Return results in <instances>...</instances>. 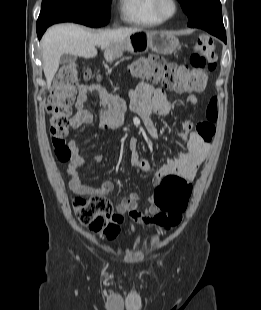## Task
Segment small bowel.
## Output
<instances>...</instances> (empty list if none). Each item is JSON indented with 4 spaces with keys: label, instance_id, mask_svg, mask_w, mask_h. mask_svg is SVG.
Segmentation results:
<instances>
[{
    "label": "small bowel",
    "instance_id": "c3829d8e",
    "mask_svg": "<svg viewBox=\"0 0 261 310\" xmlns=\"http://www.w3.org/2000/svg\"><path fill=\"white\" fill-rule=\"evenodd\" d=\"M90 94H95L101 106L112 108L115 111V116L118 118L125 109L124 99L115 93L109 92L103 87L95 84H81L78 88V96L76 100V112L70 120V125L73 129L79 128L83 124H91L93 122V114L86 107L87 99ZM131 109L137 114L142 124L147 129L148 133L156 138L157 132L153 122L150 119L151 113L166 115L171 110V103L165 97L160 89H155L149 83L141 82L138 87L130 93ZM189 104L195 105L198 103V98L194 94L187 97ZM115 123L114 119H109L103 116L101 125L103 129L111 128ZM194 124L186 120L182 124V131L178 133L179 138L186 141V150L176 154L172 158L161 165L155 172L153 179L154 184H159L161 180L169 174H178L188 181H192L199 167L205 161L210 148V141L204 139L196 130H193ZM76 137H80L76 134ZM68 147L71 152L70 162L67 167L69 174V188L76 194H97L109 195L114 184L106 180L100 187L94 188L86 185L79 177L78 170L86 163V159L80 153L79 146L75 140H70ZM130 159L134 167L141 171H150L152 169L151 162L146 158L139 156L137 148V140L131 138L129 141ZM95 161H100L101 156H93ZM140 195L131 193L128 197L122 199L117 207L116 214L122 220L124 214L128 213L132 220L137 223L150 225L154 222V217L160 212L159 208L154 205L153 201L146 209H140L138 203Z\"/></svg>",
    "mask_w": 261,
    "mask_h": 310
}]
</instances>
